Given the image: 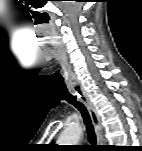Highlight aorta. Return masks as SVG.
I'll list each match as a JSON object with an SVG mask.
<instances>
[{
  "label": "aorta",
  "mask_w": 142,
  "mask_h": 151,
  "mask_svg": "<svg viewBox=\"0 0 142 151\" xmlns=\"http://www.w3.org/2000/svg\"><path fill=\"white\" fill-rule=\"evenodd\" d=\"M82 135V127L75 123L69 125L58 139L59 145H77Z\"/></svg>",
  "instance_id": "762f6f07"
}]
</instances>
